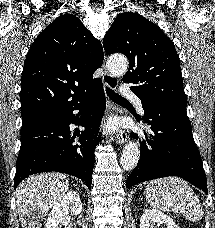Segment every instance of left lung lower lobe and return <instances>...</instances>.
Masks as SVG:
<instances>
[{"instance_id":"obj_1","label":"left lung lower lobe","mask_w":215,"mask_h":228,"mask_svg":"<svg viewBox=\"0 0 215 228\" xmlns=\"http://www.w3.org/2000/svg\"><path fill=\"white\" fill-rule=\"evenodd\" d=\"M145 131L140 142V159L129 175L126 187L166 176L181 177L207 194L206 176L200 153L183 104H142ZM131 138H137L131 133Z\"/></svg>"}]
</instances>
